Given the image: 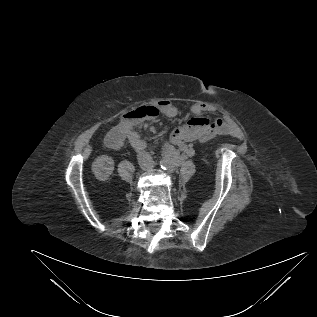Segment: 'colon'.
<instances>
[{
	"label": "colon",
	"instance_id": "5ec220e1",
	"mask_svg": "<svg viewBox=\"0 0 317 317\" xmlns=\"http://www.w3.org/2000/svg\"><path fill=\"white\" fill-rule=\"evenodd\" d=\"M159 114V109L153 105H146L139 107L138 109L130 113L132 121H139L142 119H153Z\"/></svg>",
	"mask_w": 317,
	"mask_h": 317
}]
</instances>
